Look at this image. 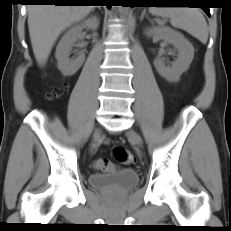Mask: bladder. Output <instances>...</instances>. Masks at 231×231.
Here are the masks:
<instances>
[{
  "mask_svg": "<svg viewBox=\"0 0 231 231\" xmlns=\"http://www.w3.org/2000/svg\"><path fill=\"white\" fill-rule=\"evenodd\" d=\"M139 182V175L130 169L110 173H96L88 176V183L93 189L108 193H124L134 188Z\"/></svg>",
  "mask_w": 231,
  "mask_h": 231,
  "instance_id": "bladder-1",
  "label": "bladder"
}]
</instances>
